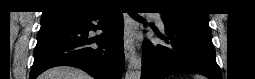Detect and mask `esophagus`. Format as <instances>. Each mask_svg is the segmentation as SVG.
<instances>
[{"label": "esophagus", "mask_w": 255, "mask_h": 79, "mask_svg": "<svg viewBox=\"0 0 255 79\" xmlns=\"http://www.w3.org/2000/svg\"><path fill=\"white\" fill-rule=\"evenodd\" d=\"M125 30H124V53L125 58L129 60L131 55L134 53V44L132 42L131 36L133 31L137 29V23L135 20L129 15L125 14Z\"/></svg>", "instance_id": "34e87169"}]
</instances>
